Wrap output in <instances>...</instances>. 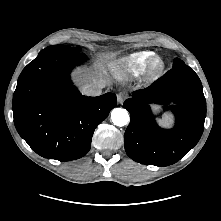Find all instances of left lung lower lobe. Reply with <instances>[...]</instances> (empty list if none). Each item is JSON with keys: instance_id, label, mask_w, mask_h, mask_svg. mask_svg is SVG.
Here are the masks:
<instances>
[{"instance_id": "obj_1", "label": "left lung lower lobe", "mask_w": 221, "mask_h": 221, "mask_svg": "<svg viewBox=\"0 0 221 221\" xmlns=\"http://www.w3.org/2000/svg\"><path fill=\"white\" fill-rule=\"evenodd\" d=\"M171 106L172 129H162L149 104ZM131 115L124 140L128 156L145 165L168 166L180 160L199 141L206 117V100L197 74L187 65L173 67L146 89L124 102Z\"/></svg>"}]
</instances>
